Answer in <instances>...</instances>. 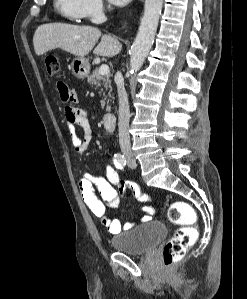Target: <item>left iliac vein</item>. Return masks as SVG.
I'll list each match as a JSON object with an SVG mask.
<instances>
[{"label":"left iliac vein","instance_id":"1","mask_svg":"<svg viewBox=\"0 0 247 299\" xmlns=\"http://www.w3.org/2000/svg\"><path fill=\"white\" fill-rule=\"evenodd\" d=\"M128 165H129V167L132 168V169H134V168L137 167L136 161L133 160V159H129V161H128Z\"/></svg>","mask_w":247,"mask_h":299}]
</instances>
